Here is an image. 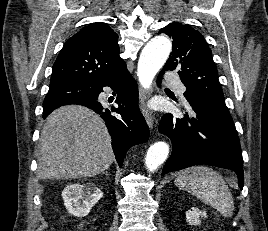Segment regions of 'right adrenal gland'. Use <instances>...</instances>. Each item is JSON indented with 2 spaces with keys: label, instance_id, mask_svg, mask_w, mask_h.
<instances>
[{
  "label": "right adrenal gland",
  "instance_id": "right-adrenal-gland-1",
  "mask_svg": "<svg viewBox=\"0 0 268 231\" xmlns=\"http://www.w3.org/2000/svg\"><path fill=\"white\" fill-rule=\"evenodd\" d=\"M105 174L108 175V172L106 171Z\"/></svg>",
  "mask_w": 268,
  "mask_h": 231
}]
</instances>
